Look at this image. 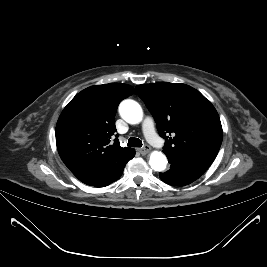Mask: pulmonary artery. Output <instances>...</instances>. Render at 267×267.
I'll return each instance as SVG.
<instances>
[{
  "mask_svg": "<svg viewBox=\"0 0 267 267\" xmlns=\"http://www.w3.org/2000/svg\"><path fill=\"white\" fill-rule=\"evenodd\" d=\"M142 130L147 140L155 147H161L163 142L158 136L154 121L151 117H146L142 124Z\"/></svg>",
  "mask_w": 267,
  "mask_h": 267,
  "instance_id": "obj_1",
  "label": "pulmonary artery"
}]
</instances>
